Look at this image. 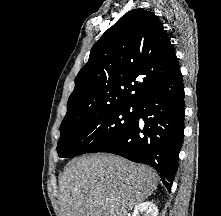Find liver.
I'll list each match as a JSON object with an SVG mask.
<instances>
[{"label": "liver", "instance_id": "liver-1", "mask_svg": "<svg viewBox=\"0 0 221 216\" xmlns=\"http://www.w3.org/2000/svg\"><path fill=\"white\" fill-rule=\"evenodd\" d=\"M152 168L111 154L71 160L59 176L63 216H126L157 188Z\"/></svg>", "mask_w": 221, "mask_h": 216}]
</instances>
